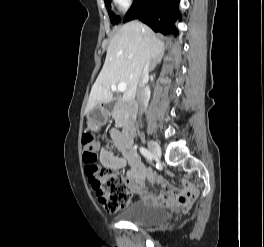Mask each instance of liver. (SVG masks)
Masks as SVG:
<instances>
[{"instance_id": "6515ba94", "label": "liver", "mask_w": 264, "mask_h": 247, "mask_svg": "<svg viewBox=\"0 0 264 247\" xmlns=\"http://www.w3.org/2000/svg\"><path fill=\"white\" fill-rule=\"evenodd\" d=\"M163 52V42L149 27L136 21L123 25L110 41L103 68L91 89L87 112L112 100V84L126 83L122 100H133L144 64Z\"/></svg>"}]
</instances>
